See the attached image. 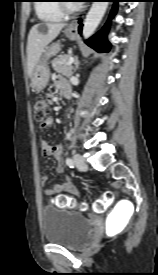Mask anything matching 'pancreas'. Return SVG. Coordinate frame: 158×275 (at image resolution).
<instances>
[{
	"label": "pancreas",
	"instance_id": "1",
	"mask_svg": "<svg viewBox=\"0 0 158 275\" xmlns=\"http://www.w3.org/2000/svg\"><path fill=\"white\" fill-rule=\"evenodd\" d=\"M70 56L63 55L52 60L53 69L62 75L71 76L73 74V66L68 64Z\"/></svg>",
	"mask_w": 158,
	"mask_h": 275
}]
</instances>
